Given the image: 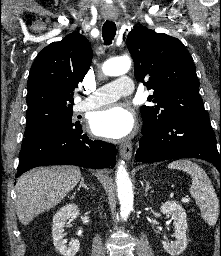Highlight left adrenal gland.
Masks as SVG:
<instances>
[{
    "instance_id": "left-adrenal-gland-1",
    "label": "left adrenal gland",
    "mask_w": 221,
    "mask_h": 256,
    "mask_svg": "<svg viewBox=\"0 0 221 256\" xmlns=\"http://www.w3.org/2000/svg\"><path fill=\"white\" fill-rule=\"evenodd\" d=\"M151 190L152 191V187L150 186V183L147 181L146 182V187H145V196H147V192Z\"/></svg>"
}]
</instances>
